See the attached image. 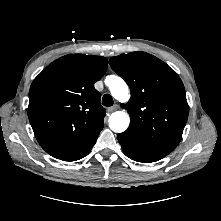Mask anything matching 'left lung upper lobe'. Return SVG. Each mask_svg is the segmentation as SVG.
Listing matches in <instances>:
<instances>
[{
	"label": "left lung upper lobe",
	"mask_w": 221,
	"mask_h": 221,
	"mask_svg": "<svg viewBox=\"0 0 221 221\" xmlns=\"http://www.w3.org/2000/svg\"><path fill=\"white\" fill-rule=\"evenodd\" d=\"M109 64L131 89V99L123 105L131 119L124 133L142 150L167 156L180 142L188 118L180 77L145 52L121 54L112 57Z\"/></svg>",
	"instance_id": "obj_1"
}]
</instances>
